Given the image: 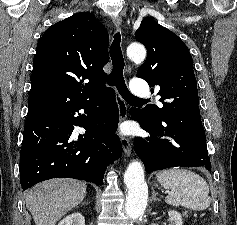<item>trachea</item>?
<instances>
[{
	"instance_id": "obj_1",
	"label": "trachea",
	"mask_w": 237,
	"mask_h": 225,
	"mask_svg": "<svg viewBox=\"0 0 237 225\" xmlns=\"http://www.w3.org/2000/svg\"><path fill=\"white\" fill-rule=\"evenodd\" d=\"M121 35L119 32L114 34V39L110 46V56L112 60V71L108 77L107 84L109 86H116L118 92L126 101L146 102L144 99L135 97L128 90L123 77L124 59L120 47Z\"/></svg>"
}]
</instances>
